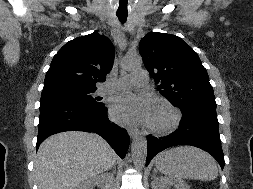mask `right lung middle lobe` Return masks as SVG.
<instances>
[{
	"mask_svg": "<svg viewBox=\"0 0 253 189\" xmlns=\"http://www.w3.org/2000/svg\"><path fill=\"white\" fill-rule=\"evenodd\" d=\"M96 89L97 88H57L43 90L40 102L65 101L97 106L102 103L97 102V99L92 97V93H94Z\"/></svg>",
	"mask_w": 253,
	"mask_h": 189,
	"instance_id": "obj_1",
	"label": "right lung middle lobe"
}]
</instances>
